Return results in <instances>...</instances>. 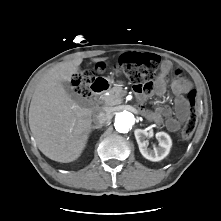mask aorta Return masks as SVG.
I'll return each mask as SVG.
<instances>
[{"label": "aorta", "mask_w": 221, "mask_h": 221, "mask_svg": "<svg viewBox=\"0 0 221 221\" xmlns=\"http://www.w3.org/2000/svg\"><path fill=\"white\" fill-rule=\"evenodd\" d=\"M135 123V116L129 111H122L116 114L114 126L120 133H127Z\"/></svg>", "instance_id": "762f6f07"}]
</instances>
